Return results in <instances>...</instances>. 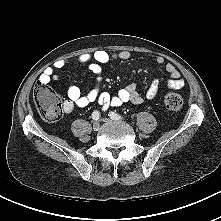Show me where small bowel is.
<instances>
[{"label":"small bowel","mask_w":221,"mask_h":221,"mask_svg":"<svg viewBox=\"0 0 221 221\" xmlns=\"http://www.w3.org/2000/svg\"><path fill=\"white\" fill-rule=\"evenodd\" d=\"M131 53L129 51L108 52L105 50H96L90 53L80 54L75 57V62L78 64H85L89 70L96 76V85L87 93L82 94L77 86L70 85L67 89V99L64 101V112L69 115L76 107L84 108L91 103H98L107 108L109 106L119 107L124 103L131 102L133 104H140L143 101L142 96L137 91L134 84H129L120 89L116 94L112 95L108 92L102 91V65L107 64L113 60H129ZM69 60L61 59L55 62L51 67H47L39 77L40 82L49 83L52 80H59V75L56 70L63 68ZM165 62L163 57H157L156 63L163 65ZM165 70L169 74V79L166 85L170 89L179 90L185 85L184 80L177 68L167 63ZM160 87V81H153L146 90V97L153 99L156 97Z\"/></svg>","instance_id":"obj_1"}]
</instances>
